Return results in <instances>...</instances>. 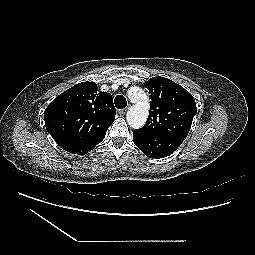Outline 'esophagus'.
<instances>
[{
    "label": "esophagus",
    "mask_w": 255,
    "mask_h": 255,
    "mask_svg": "<svg viewBox=\"0 0 255 255\" xmlns=\"http://www.w3.org/2000/svg\"><path fill=\"white\" fill-rule=\"evenodd\" d=\"M127 110H128V107H126V108H124V109L119 110V113H120L121 115H125V114H126V112H127Z\"/></svg>",
    "instance_id": "34e87169"
}]
</instances>
